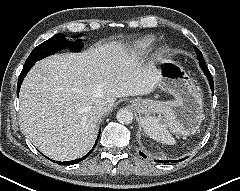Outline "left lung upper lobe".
I'll return each mask as SVG.
<instances>
[{
  "instance_id": "left-lung-upper-lobe-1",
  "label": "left lung upper lobe",
  "mask_w": 240,
  "mask_h": 191,
  "mask_svg": "<svg viewBox=\"0 0 240 191\" xmlns=\"http://www.w3.org/2000/svg\"><path fill=\"white\" fill-rule=\"evenodd\" d=\"M195 50H196V52H197V58H198V60L203 59V55H202V53L200 52V50H198L196 47H195Z\"/></svg>"
}]
</instances>
